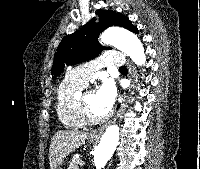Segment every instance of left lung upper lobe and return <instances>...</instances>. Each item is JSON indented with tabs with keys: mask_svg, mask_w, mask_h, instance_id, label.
Returning <instances> with one entry per match:
<instances>
[{
	"mask_svg": "<svg viewBox=\"0 0 200 169\" xmlns=\"http://www.w3.org/2000/svg\"><path fill=\"white\" fill-rule=\"evenodd\" d=\"M97 15L99 22L95 18L91 19L80 30L65 36L55 53L54 63L51 70L53 78L61 74L64 65L77 64L90 60L98 56L104 49H111L101 46L98 43L99 34L110 26L124 27L135 33L138 29L132 25L129 18L111 10H100Z\"/></svg>",
	"mask_w": 200,
	"mask_h": 169,
	"instance_id": "1",
	"label": "left lung upper lobe"
}]
</instances>
